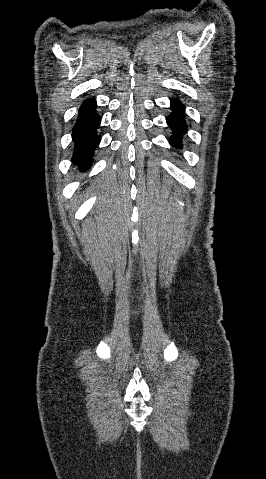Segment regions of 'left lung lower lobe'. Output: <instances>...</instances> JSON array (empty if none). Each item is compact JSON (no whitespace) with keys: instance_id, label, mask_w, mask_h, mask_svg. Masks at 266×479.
Instances as JSON below:
<instances>
[{"instance_id":"obj_1","label":"left lung lower lobe","mask_w":266,"mask_h":479,"mask_svg":"<svg viewBox=\"0 0 266 479\" xmlns=\"http://www.w3.org/2000/svg\"><path fill=\"white\" fill-rule=\"evenodd\" d=\"M172 113L167 118V124L172 129V136L169 141L170 144L182 149L183 136L187 132V125L184 120V106L179 100L173 99L171 102Z\"/></svg>"}]
</instances>
